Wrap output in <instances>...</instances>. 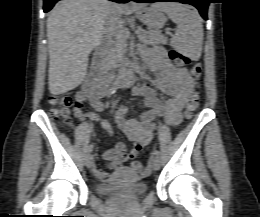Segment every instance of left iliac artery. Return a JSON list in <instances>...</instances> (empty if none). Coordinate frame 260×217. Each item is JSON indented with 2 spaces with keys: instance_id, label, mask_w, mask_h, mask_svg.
<instances>
[{
  "instance_id": "left-iliac-artery-1",
  "label": "left iliac artery",
  "mask_w": 260,
  "mask_h": 217,
  "mask_svg": "<svg viewBox=\"0 0 260 217\" xmlns=\"http://www.w3.org/2000/svg\"><path fill=\"white\" fill-rule=\"evenodd\" d=\"M154 154H155L157 157H159V156H160L159 150L155 149V150H154Z\"/></svg>"
}]
</instances>
